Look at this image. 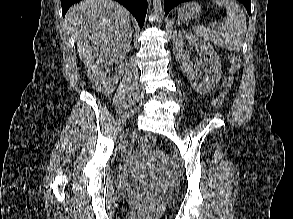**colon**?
I'll return each instance as SVG.
<instances>
[{"label":"colon","mask_w":293,"mask_h":219,"mask_svg":"<svg viewBox=\"0 0 293 219\" xmlns=\"http://www.w3.org/2000/svg\"><path fill=\"white\" fill-rule=\"evenodd\" d=\"M241 68V60L237 55L230 56V69H229V78L226 84V87L213 99L212 106L214 108H220L224 102L225 96L232 86L234 75ZM156 143V137L154 135H146L140 139L139 148L142 151H147L152 148Z\"/></svg>","instance_id":"colon-1"}]
</instances>
